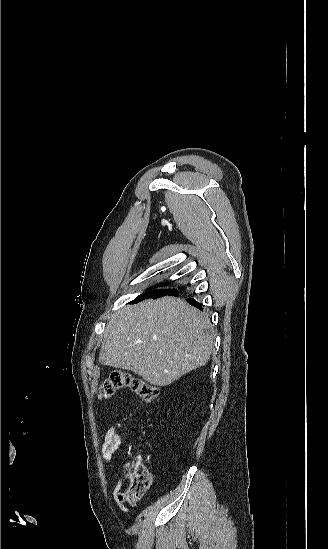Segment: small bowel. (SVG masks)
<instances>
[{
  "mask_svg": "<svg viewBox=\"0 0 328 549\" xmlns=\"http://www.w3.org/2000/svg\"><path fill=\"white\" fill-rule=\"evenodd\" d=\"M121 443V435L117 432L115 427H112L105 435L103 443L101 445V454L105 463L110 466L113 454L119 444ZM137 462H143V457L138 456ZM123 479L119 478L115 484L113 497L117 506L122 510L126 511L127 508L124 505V502L119 498V491L121 490Z\"/></svg>",
  "mask_w": 328,
  "mask_h": 549,
  "instance_id": "obj_1",
  "label": "small bowel"
}]
</instances>
